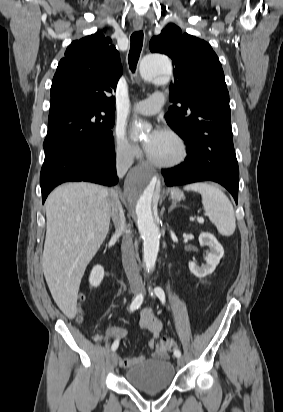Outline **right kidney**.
Returning <instances> with one entry per match:
<instances>
[{
  "label": "right kidney",
  "mask_w": 283,
  "mask_h": 412,
  "mask_svg": "<svg viewBox=\"0 0 283 412\" xmlns=\"http://www.w3.org/2000/svg\"><path fill=\"white\" fill-rule=\"evenodd\" d=\"M104 277V268L101 265H96L93 267L90 277H89V282L90 285L93 287H97L100 285Z\"/></svg>",
  "instance_id": "ca27d5eb"
}]
</instances>
